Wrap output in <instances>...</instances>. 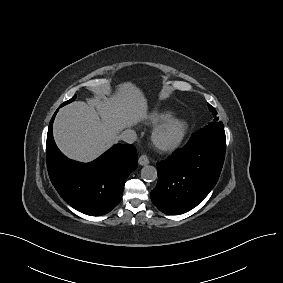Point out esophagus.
I'll return each mask as SVG.
<instances>
[{
  "label": "esophagus",
  "instance_id": "esophagus-1",
  "mask_svg": "<svg viewBox=\"0 0 283 283\" xmlns=\"http://www.w3.org/2000/svg\"><path fill=\"white\" fill-rule=\"evenodd\" d=\"M138 162H139V164L140 165H147V164H149V159H148V157L146 156V155H141L140 157H139V159H138Z\"/></svg>",
  "mask_w": 283,
  "mask_h": 283
}]
</instances>
